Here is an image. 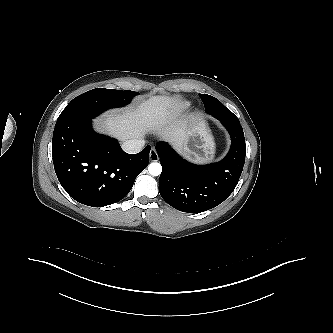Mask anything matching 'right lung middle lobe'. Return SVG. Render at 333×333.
<instances>
[{"instance_id":"1","label":"right lung middle lobe","mask_w":333,"mask_h":333,"mask_svg":"<svg viewBox=\"0 0 333 333\" xmlns=\"http://www.w3.org/2000/svg\"><path fill=\"white\" fill-rule=\"evenodd\" d=\"M138 92L97 88L74 98L62 111L59 118L74 117L92 119L110 108L130 103Z\"/></svg>"}]
</instances>
